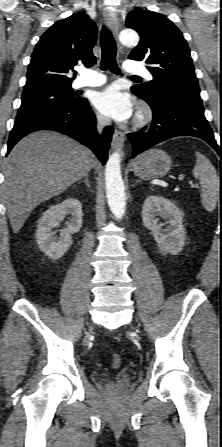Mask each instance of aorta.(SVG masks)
Segmentation results:
<instances>
[{
    "mask_svg": "<svg viewBox=\"0 0 222 447\" xmlns=\"http://www.w3.org/2000/svg\"><path fill=\"white\" fill-rule=\"evenodd\" d=\"M120 42L126 46H136L139 36L132 29H125L119 35ZM120 153L114 152L109 156L105 168L106 197L110 210L116 219H122L126 208L125 187L121 175Z\"/></svg>",
    "mask_w": 222,
    "mask_h": 447,
    "instance_id": "aorta-1",
    "label": "aorta"
}]
</instances>
